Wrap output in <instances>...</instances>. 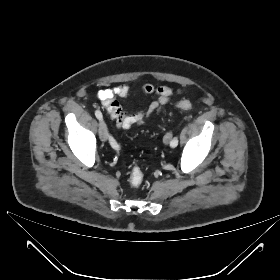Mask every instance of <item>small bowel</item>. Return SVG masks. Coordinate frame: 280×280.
I'll return each instance as SVG.
<instances>
[{
    "mask_svg": "<svg viewBox=\"0 0 280 280\" xmlns=\"http://www.w3.org/2000/svg\"><path fill=\"white\" fill-rule=\"evenodd\" d=\"M141 90L147 95L154 96V100L149 103L145 110L136 112L126 111L119 101V99H127L133 95L129 85L121 84L98 92V98L118 129L128 130L135 125H143L147 118L158 114L162 110L174 93V90L167 85L155 86L149 82L144 83Z\"/></svg>",
    "mask_w": 280,
    "mask_h": 280,
    "instance_id": "obj_1",
    "label": "small bowel"
}]
</instances>
